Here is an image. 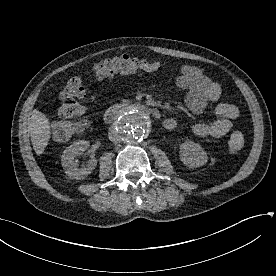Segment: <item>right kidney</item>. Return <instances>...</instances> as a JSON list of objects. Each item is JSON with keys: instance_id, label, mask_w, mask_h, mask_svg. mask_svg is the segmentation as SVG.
<instances>
[{"instance_id": "1", "label": "right kidney", "mask_w": 276, "mask_h": 276, "mask_svg": "<svg viewBox=\"0 0 276 276\" xmlns=\"http://www.w3.org/2000/svg\"><path fill=\"white\" fill-rule=\"evenodd\" d=\"M89 147V142L85 140H80L74 142L72 145L64 150L61 156L62 167L66 175L72 179H84L88 176L97 165L96 159H91L86 165L79 168V162L75 159L76 155L82 154Z\"/></svg>"}]
</instances>
